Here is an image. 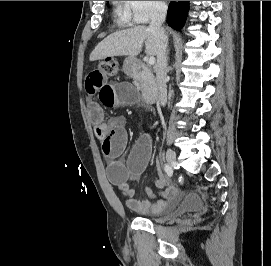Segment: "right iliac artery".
Segmentation results:
<instances>
[{"mask_svg":"<svg viewBox=\"0 0 271 266\" xmlns=\"http://www.w3.org/2000/svg\"><path fill=\"white\" fill-rule=\"evenodd\" d=\"M164 170H165V172L167 173V175H168L169 177L172 176V174H173V169H172V167H171L170 165L165 164V165H164Z\"/></svg>","mask_w":271,"mask_h":266,"instance_id":"right-iliac-artery-1","label":"right iliac artery"}]
</instances>
